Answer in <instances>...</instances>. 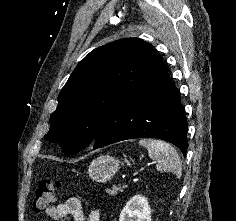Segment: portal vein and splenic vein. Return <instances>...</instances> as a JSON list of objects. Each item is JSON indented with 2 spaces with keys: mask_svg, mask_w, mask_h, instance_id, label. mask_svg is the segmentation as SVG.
<instances>
[{
  "mask_svg": "<svg viewBox=\"0 0 236 221\" xmlns=\"http://www.w3.org/2000/svg\"><path fill=\"white\" fill-rule=\"evenodd\" d=\"M137 174H138V172H135V173L133 174V176H134V177H136V176H137Z\"/></svg>",
  "mask_w": 236,
  "mask_h": 221,
  "instance_id": "1",
  "label": "portal vein and splenic vein"
}]
</instances>
